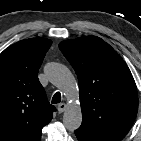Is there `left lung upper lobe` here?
Wrapping results in <instances>:
<instances>
[{"instance_id":"left-lung-upper-lobe-1","label":"left lung upper lobe","mask_w":141,"mask_h":141,"mask_svg":"<svg viewBox=\"0 0 141 141\" xmlns=\"http://www.w3.org/2000/svg\"><path fill=\"white\" fill-rule=\"evenodd\" d=\"M59 48L79 81L82 124L76 131L94 141H121L138 111L137 88L126 63L96 36L63 41Z\"/></svg>"}]
</instances>
